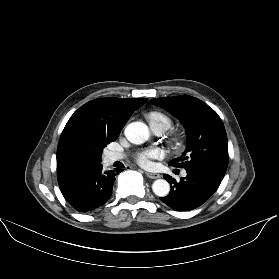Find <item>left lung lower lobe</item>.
I'll list each match as a JSON object with an SVG mask.
<instances>
[{
    "label": "left lung lower lobe",
    "instance_id": "1",
    "mask_svg": "<svg viewBox=\"0 0 279 279\" xmlns=\"http://www.w3.org/2000/svg\"><path fill=\"white\" fill-rule=\"evenodd\" d=\"M187 176L177 182L171 176L163 177L170 183L171 191L160 199L177 211L193 210L204 204L218 189L222 179L201 168H186Z\"/></svg>",
    "mask_w": 279,
    "mask_h": 279
}]
</instances>
